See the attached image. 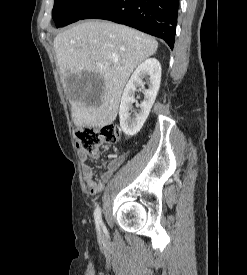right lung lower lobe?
<instances>
[{"mask_svg":"<svg viewBox=\"0 0 247 275\" xmlns=\"http://www.w3.org/2000/svg\"><path fill=\"white\" fill-rule=\"evenodd\" d=\"M179 0H100L80 20L96 18L124 24L162 38L172 49Z\"/></svg>","mask_w":247,"mask_h":275,"instance_id":"right-lung-lower-lobe-1","label":"right lung lower lobe"}]
</instances>
